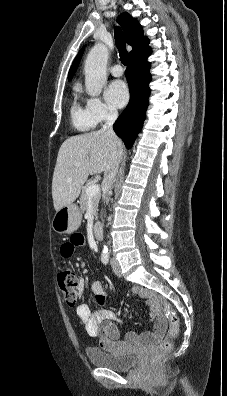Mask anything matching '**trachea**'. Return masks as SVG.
Listing matches in <instances>:
<instances>
[{"label":"trachea","mask_w":227,"mask_h":396,"mask_svg":"<svg viewBox=\"0 0 227 396\" xmlns=\"http://www.w3.org/2000/svg\"><path fill=\"white\" fill-rule=\"evenodd\" d=\"M115 42L119 50L120 61L122 62V64L128 65L129 55L128 52L126 51L125 37L122 30L119 27H116L115 29Z\"/></svg>","instance_id":"3493384b"}]
</instances>
